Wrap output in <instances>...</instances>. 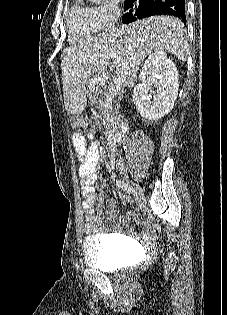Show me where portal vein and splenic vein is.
<instances>
[{"label":"portal vein and splenic vein","instance_id":"portal-vein-and-splenic-vein-1","mask_svg":"<svg viewBox=\"0 0 227 315\" xmlns=\"http://www.w3.org/2000/svg\"><path fill=\"white\" fill-rule=\"evenodd\" d=\"M115 74H116V76L113 79L115 85L110 88V90H109L110 92L111 91H113V92L116 91L117 86L123 81V79L125 77V73L123 71L116 70ZM100 80H101L100 78H96V79L93 80V83H97L98 84Z\"/></svg>","mask_w":227,"mask_h":315}]
</instances>
